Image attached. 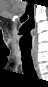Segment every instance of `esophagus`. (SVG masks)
<instances>
[{"label": "esophagus", "instance_id": "esophagus-1", "mask_svg": "<svg viewBox=\"0 0 48 87\" xmlns=\"http://www.w3.org/2000/svg\"><path fill=\"white\" fill-rule=\"evenodd\" d=\"M32 60H33V65L35 68V71L38 76H40V70H39V65H38V57L36 52H32Z\"/></svg>", "mask_w": 48, "mask_h": 87}]
</instances>
